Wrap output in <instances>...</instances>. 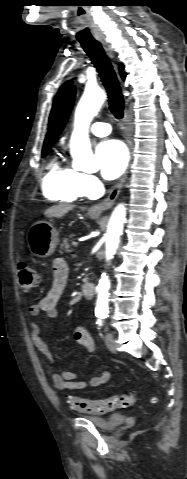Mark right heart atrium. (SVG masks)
Returning a JSON list of instances; mask_svg holds the SVG:
<instances>
[{
	"instance_id": "right-heart-atrium-1",
	"label": "right heart atrium",
	"mask_w": 187,
	"mask_h": 479,
	"mask_svg": "<svg viewBox=\"0 0 187 479\" xmlns=\"http://www.w3.org/2000/svg\"><path fill=\"white\" fill-rule=\"evenodd\" d=\"M78 183L85 196H94L101 186L99 179L88 173H79Z\"/></svg>"
}]
</instances>
